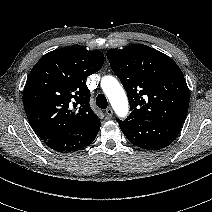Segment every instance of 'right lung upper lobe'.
Here are the masks:
<instances>
[{
    "label": "right lung upper lobe",
    "instance_id": "obj_1",
    "mask_svg": "<svg viewBox=\"0 0 212 212\" xmlns=\"http://www.w3.org/2000/svg\"><path fill=\"white\" fill-rule=\"evenodd\" d=\"M103 63L99 50L65 47L45 54L35 64L27 78L23 104L32 128L43 141L99 131L101 122L90 108L85 80Z\"/></svg>",
    "mask_w": 212,
    "mask_h": 212
}]
</instances>
